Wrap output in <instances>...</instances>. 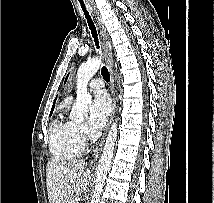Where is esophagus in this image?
<instances>
[{
  "instance_id": "esophagus-1",
  "label": "esophagus",
  "mask_w": 214,
  "mask_h": 203,
  "mask_svg": "<svg viewBox=\"0 0 214 203\" xmlns=\"http://www.w3.org/2000/svg\"><path fill=\"white\" fill-rule=\"evenodd\" d=\"M95 16H96V20H97V24H98V28H99L101 44H102V48H103V54H104V57L106 60V65L109 70L110 78H111L112 108H111V114H110V118H109L106 130L103 134V137H102L98 147L95 149V151L92 155L91 164H93L97 161V159L102 151V148H103V145H104V142L106 139V135H107L110 125L112 123L114 113H115V108H116L115 77H114L113 68H112L113 56H112V51L110 48L109 37H108L107 31H106L104 22L97 12L95 13Z\"/></svg>"
}]
</instances>
